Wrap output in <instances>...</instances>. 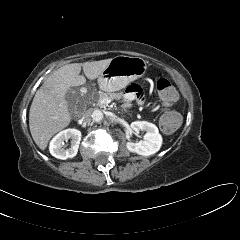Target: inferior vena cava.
<instances>
[{
	"mask_svg": "<svg viewBox=\"0 0 240 240\" xmlns=\"http://www.w3.org/2000/svg\"><path fill=\"white\" fill-rule=\"evenodd\" d=\"M91 120V113L89 111L85 112L82 116V121L90 122Z\"/></svg>",
	"mask_w": 240,
	"mask_h": 240,
	"instance_id": "1",
	"label": "inferior vena cava"
}]
</instances>
